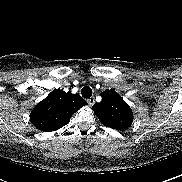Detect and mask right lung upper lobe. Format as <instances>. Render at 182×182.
Here are the masks:
<instances>
[{
	"instance_id": "cb5924a9",
	"label": "right lung upper lobe",
	"mask_w": 182,
	"mask_h": 182,
	"mask_svg": "<svg viewBox=\"0 0 182 182\" xmlns=\"http://www.w3.org/2000/svg\"><path fill=\"white\" fill-rule=\"evenodd\" d=\"M86 104L80 95L56 89L33 108L30 119L39 130L55 131L67 125L71 116Z\"/></svg>"
}]
</instances>
